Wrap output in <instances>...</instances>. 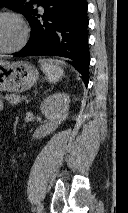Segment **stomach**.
<instances>
[{"mask_svg": "<svg viewBox=\"0 0 128 213\" xmlns=\"http://www.w3.org/2000/svg\"><path fill=\"white\" fill-rule=\"evenodd\" d=\"M38 75V70L28 61L8 62L0 59V91H26L34 85Z\"/></svg>", "mask_w": 128, "mask_h": 213, "instance_id": "obj_1", "label": "stomach"}]
</instances>
